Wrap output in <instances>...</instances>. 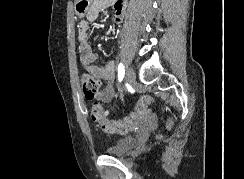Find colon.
<instances>
[{"label":"colon","mask_w":244,"mask_h":179,"mask_svg":"<svg viewBox=\"0 0 244 179\" xmlns=\"http://www.w3.org/2000/svg\"><path fill=\"white\" fill-rule=\"evenodd\" d=\"M101 82L98 76L89 72H83L81 77V86L83 93L88 99L96 96L99 91ZM153 95H144L139 102H134V108H130V116L124 120H108L104 107L98 102L97 106H91L90 114L92 120L99 124L103 131L108 133H124L134 128V120H139L140 110H148V106H155ZM174 113L170 112L165 125H174Z\"/></svg>","instance_id":"1"}]
</instances>
